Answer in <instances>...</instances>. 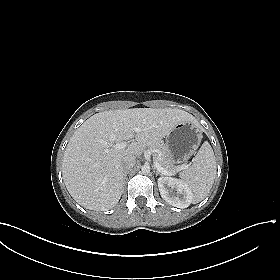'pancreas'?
Here are the masks:
<instances>
[{
  "mask_svg": "<svg viewBox=\"0 0 280 280\" xmlns=\"http://www.w3.org/2000/svg\"><path fill=\"white\" fill-rule=\"evenodd\" d=\"M154 151V159L157 161L161 167L166 169L169 172L176 174L177 172L186 168L185 165H175L174 159L171 157L170 152L162 143H157L154 146L150 147Z\"/></svg>",
  "mask_w": 280,
  "mask_h": 280,
  "instance_id": "cf45deb5",
  "label": "pancreas"
}]
</instances>
